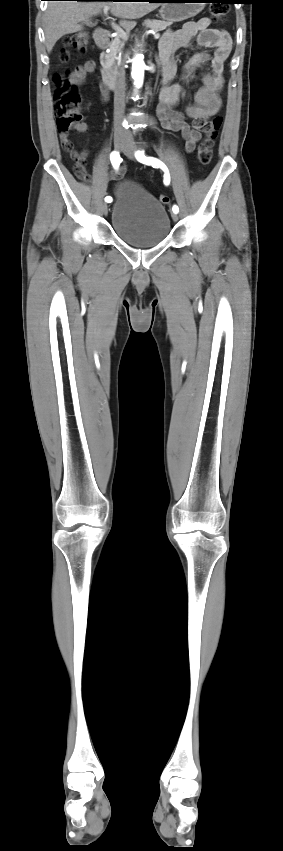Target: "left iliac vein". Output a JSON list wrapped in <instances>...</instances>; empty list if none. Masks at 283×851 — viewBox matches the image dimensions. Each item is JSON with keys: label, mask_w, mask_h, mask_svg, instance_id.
Segmentation results:
<instances>
[{"label": "left iliac vein", "mask_w": 283, "mask_h": 851, "mask_svg": "<svg viewBox=\"0 0 283 851\" xmlns=\"http://www.w3.org/2000/svg\"><path fill=\"white\" fill-rule=\"evenodd\" d=\"M123 152H124V154H125V155L129 158V159H131V160H134V159H135V156H134V147H133L132 145H126V146H125V148H124V150H123ZM172 219H173V221H175V222L178 220V215H177V213H172Z\"/></svg>", "instance_id": "1"}]
</instances>
